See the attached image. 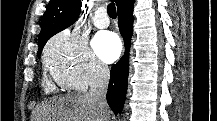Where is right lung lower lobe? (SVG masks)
Here are the masks:
<instances>
[{
  "mask_svg": "<svg viewBox=\"0 0 217 121\" xmlns=\"http://www.w3.org/2000/svg\"><path fill=\"white\" fill-rule=\"evenodd\" d=\"M134 0H123L118 5V26L125 41L124 56L111 68V78L107 92V102L115 114L121 113L125 102L129 72V48L133 28Z\"/></svg>",
  "mask_w": 217,
  "mask_h": 121,
  "instance_id": "98d812e1",
  "label": "right lung lower lobe"
}]
</instances>
